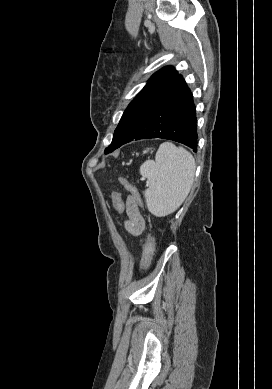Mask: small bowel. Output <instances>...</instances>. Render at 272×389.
Here are the masks:
<instances>
[{"instance_id":"obj_1","label":"small bowel","mask_w":272,"mask_h":389,"mask_svg":"<svg viewBox=\"0 0 272 389\" xmlns=\"http://www.w3.org/2000/svg\"><path fill=\"white\" fill-rule=\"evenodd\" d=\"M124 208L127 215L126 230L133 236H140L145 229V221L139 210L138 202L132 196H129L125 201Z\"/></svg>"}]
</instances>
